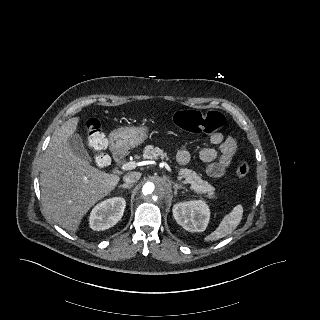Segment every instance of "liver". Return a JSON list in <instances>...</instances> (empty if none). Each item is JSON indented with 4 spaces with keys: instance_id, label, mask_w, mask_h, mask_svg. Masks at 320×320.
<instances>
[{
    "instance_id": "liver-1",
    "label": "liver",
    "mask_w": 320,
    "mask_h": 320,
    "mask_svg": "<svg viewBox=\"0 0 320 320\" xmlns=\"http://www.w3.org/2000/svg\"><path fill=\"white\" fill-rule=\"evenodd\" d=\"M79 117L67 120L54 132L40 174L45 211L62 228L76 232L83 216L110 193L120 177L108 174L77 157L68 138L77 131Z\"/></svg>"
}]
</instances>
